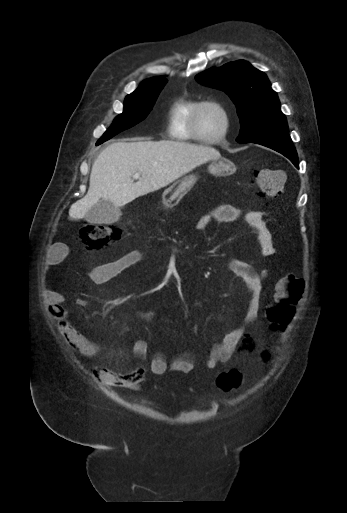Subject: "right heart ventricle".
Returning a JSON list of instances; mask_svg holds the SVG:
<instances>
[{"instance_id": "e07e8e85", "label": "right heart ventricle", "mask_w": 347, "mask_h": 513, "mask_svg": "<svg viewBox=\"0 0 347 513\" xmlns=\"http://www.w3.org/2000/svg\"><path fill=\"white\" fill-rule=\"evenodd\" d=\"M201 100L192 97H179L171 106L168 122V134L176 141L203 143L194 136L190 123L193 112Z\"/></svg>"}]
</instances>
